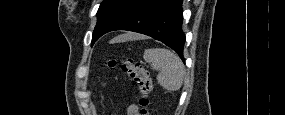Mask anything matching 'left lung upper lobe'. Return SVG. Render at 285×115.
<instances>
[{"label": "left lung upper lobe", "mask_w": 285, "mask_h": 115, "mask_svg": "<svg viewBox=\"0 0 285 115\" xmlns=\"http://www.w3.org/2000/svg\"><path fill=\"white\" fill-rule=\"evenodd\" d=\"M131 0H103L97 11V24L93 31L92 45L104 34V30L110 21Z\"/></svg>", "instance_id": "1"}]
</instances>
